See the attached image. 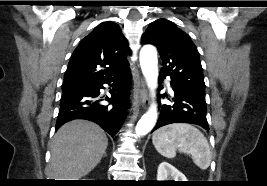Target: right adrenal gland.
Here are the masks:
<instances>
[{
	"label": "right adrenal gland",
	"instance_id": "1",
	"mask_svg": "<svg viewBox=\"0 0 267 186\" xmlns=\"http://www.w3.org/2000/svg\"><path fill=\"white\" fill-rule=\"evenodd\" d=\"M107 156L106 153L104 154V157Z\"/></svg>",
	"mask_w": 267,
	"mask_h": 186
}]
</instances>
